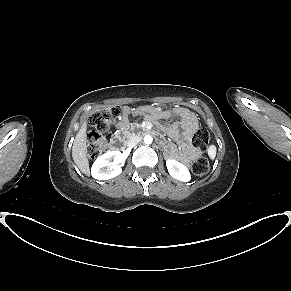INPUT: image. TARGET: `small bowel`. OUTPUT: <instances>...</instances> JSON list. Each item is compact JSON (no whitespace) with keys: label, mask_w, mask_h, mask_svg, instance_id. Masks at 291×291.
<instances>
[{"label":"small bowel","mask_w":291,"mask_h":291,"mask_svg":"<svg viewBox=\"0 0 291 291\" xmlns=\"http://www.w3.org/2000/svg\"><path fill=\"white\" fill-rule=\"evenodd\" d=\"M144 115L149 122L158 123L159 119H168L171 116L175 121L174 125L167 128L168 134L180 141L181 147L167 145L166 154L169 158L188 163L198 156V151L191 145L190 137L198 128V120L196 114L192 110L185 108H176L172 111H164L161 114L147 113L145 107L131 109L125 107L121 121L117 124V128L123 129L128 123L129 116Z\"/></svg>","instance_id":"c3829d8e"}]
</instances>
